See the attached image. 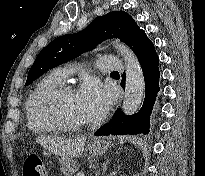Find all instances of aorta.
Returning <instances> with one entry per match:
<instances>
[{
	"mask_svg": "<svg viewBox=\"0 0 205 176\" xmlns=\"http://www.w3.org/2000/svg\"><path fill=\"white\" fill-rule=\"evenodd\" d=\"M119 54L122 56L126 67V84L123 101V111L127 115L134 114L143 99L144 77L140 64L135 54L119 40L112 42Z\"/></svg>",
	"mask_w": 205,
	"mask_h": 176,
	"instance_id": "obj_1",
	"label": "aorta"
}]
</instances>
